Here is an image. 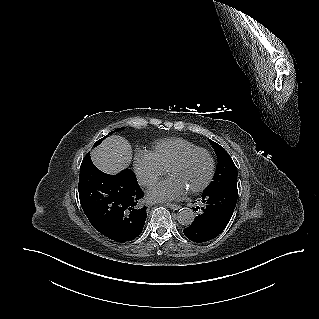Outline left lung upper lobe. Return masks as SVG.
Returning a JSON list of instances; mask_svg holds the SVG:
<instances>
[{
    "label": "left lung upper lobe",
    "instance_id": "5c2ea615",
    "mask_svg": "<svg viewBox=\"0 0 319 319\" xmlns=\"http://www.w3.org/2000/svg\"><path fill=\"white\" fill-rule=\"evenodd\" d=\"M218 158L217 170L213 181L205 191H214L224 187L237 185V168L225 149L209 139Z\"/></svg>",
    "mask_w": 319,
    "mask_h": 319
}]
</instances>
